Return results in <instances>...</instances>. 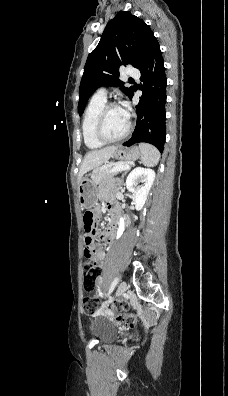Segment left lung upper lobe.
I'll return each mask as SVG.
<instances>
[{"label":"left lung upper lobe","instance_id":"left-lung-upper-lobe-1","mask_svg":"<svg viewBox=\"0 0 228 396\" xmlns=\"http://www.w3.org/2000/svg\"><path fill=\"white\" fill-rule=\"evenodd\" d=\"M155 39L150 27L129 11H120L110 20L84 67L79 88V115H82L91 94L101 86H121L129 97L133 87L123 86L118 79L119 68L131 64L140 69Z\"/></svg>","mask_w":228,"mask_h":396}]
</instances>
